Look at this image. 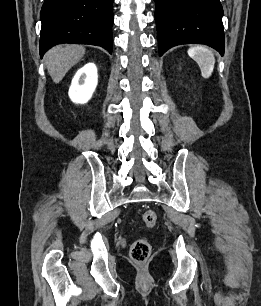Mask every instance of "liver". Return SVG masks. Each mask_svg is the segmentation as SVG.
I'll use <instances>...</instances> for the list:
<instances>
[{
  "instance_id": "obj_1",
  "label": "liver",
  "mask_w": 261,
  "mask_h": 306,
  "mask_svg": "<svg viewBox=\"0 0 261 306\" xmlns=\"http://www.w3.org/2000/svg\"><path fill=\"white\" fill-rule=\"evenodd\" d=\"M81 45L55 46L44 56L45 66L54 83H59L65 74L84 56Z\"/></svg>"
}]
</instances>
